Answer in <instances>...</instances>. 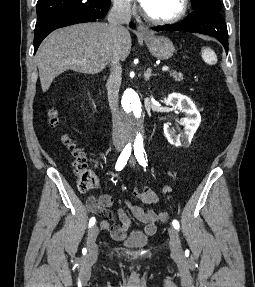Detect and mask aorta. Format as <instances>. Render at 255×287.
<instances>
[{
    "mask_svg": "<svg viewBox=\"0 0 255 287\" xmlns=\"http://www.w3.org/2000/svg\"><path fill=\"white\" fill-rule=\"evenodd\" d=\"M129 141L135 146L143 145V107L138 94L133 89H126L123 97Z\"/></svg>",
    "mask_w": 255,
    "mask_h": 287,
    "instance_id": "762f6f07",
    "label": "aorta"
}]
</instances>
